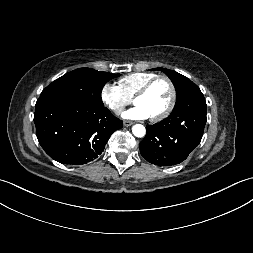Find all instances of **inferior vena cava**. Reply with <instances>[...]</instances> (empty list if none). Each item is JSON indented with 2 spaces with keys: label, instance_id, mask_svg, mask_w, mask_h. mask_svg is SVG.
I'll return each instance as SVG.
<instances>
[{
  "label": "inferior vena cava",
  "instance_id": "602c4592",
  "mask_svg": "<svg viewBox=\"0 0 253 253\" xmlns=\"http://www.w3.org/2000/svg\"><path fill=\"white\" fill-rule=\"evenodd\" d=\"M117 110H118V111H121V110H123V108H118Z\"/></svg>",
  "mask_w": 253,
  "mask_h": 253
}]
</instances>
